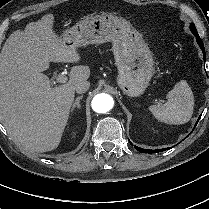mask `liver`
I'll return each mask as SVG.
<instances>
[{
	"instance_id": "6515ba94",
	"label": "liver",
	"mask_w": 209,
	"mask_h": 209,
	"mask_svg": "<svg viewBox=\"0 0 209 209\" xmlns=\"http://www.w3.org/2000/svg\"><path fill=\"white\" fill-rule=\"evenodd\" d=\"M54 15L14 31L0 53V122L19 145L47 152L58 147L69 119L75 87L90 76L88 66H74L65 84L51 87L42 72L49 62L74 63L80 55L53 30Z\"/></svg>"
}]
</instances>
